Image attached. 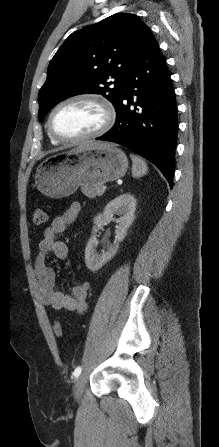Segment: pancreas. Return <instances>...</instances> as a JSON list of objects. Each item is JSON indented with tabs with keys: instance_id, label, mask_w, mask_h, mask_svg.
<instances>
[{
	"instance_id": "obj_1",
	"label": "pancreas",
	"mask_w": 219,
	"mask_h": 447,
	"mask_svg": "<svg viewBox=\"0 0 219 447\" xmlns=\"http://www.w3.org/2000/svg\"><path fill=\"white\" fill-rule=\"evenodd\" d=\"M82 193L89 197V198H95L96 196H101L105 189L104 186L101 184L98 185H84L81 187Z\"/></svg>"
}]
</instances>
